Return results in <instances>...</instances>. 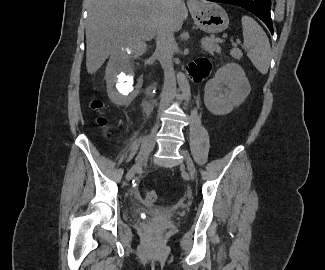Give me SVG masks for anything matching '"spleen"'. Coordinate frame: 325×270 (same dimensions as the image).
<instances>
[{"label":"spleen","instance_id":"spleen-1","mask_svg":"<svg viewBox=\"0 0 325 270\" xmlns=\"http://www.w3.org/2000/svg\"><path fill=\"white\" fill-rule=\"evenodd\" d=\"M244 49L256 69L266 74L271 60V47L263 28L251 17L242 16Z\"/></svg>","mask_w":325,"mask_h":270}]
</instances>
